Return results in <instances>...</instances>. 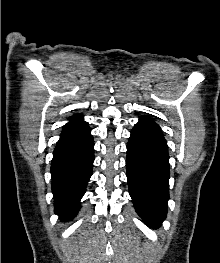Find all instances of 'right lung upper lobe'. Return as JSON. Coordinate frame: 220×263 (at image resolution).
Listing matches in <instances>:
<instances>
[{
    "label": "right lung upper lobe",
    "instance_id": "cb5924a9",
    "mask_svg": "<svg viewBox=\"0 0 220 263\" xmlns=\"http://www.w3.org/2000/svg\"><path fill=\"white\" fill-rule=\"evenodd\" d=\"M89 127L85 121H83L82 115L78 114L70 118V122L63 128V133H79L85 132Z\"/></svg>",
    "mask_w": 220,
    "mask_h": 263
}]
</instances>
